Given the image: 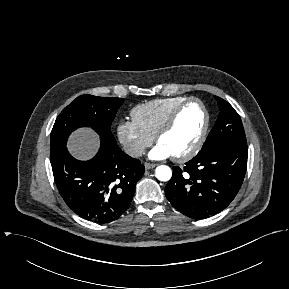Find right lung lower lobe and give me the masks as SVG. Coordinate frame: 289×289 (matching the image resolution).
Segmentation results:
<instances>
[{
	"mask_svg": "<svg viewBox=\"0 0 289 289\" xmlns=\"http://www.w3.org/2000/svg\"><path fill=\"white\" fill-rule=\"evenodd\" d=\"M60 195L80 217L100 223L119 218L130 206L136 182L145 167L119 146L101 139L97 155L89 161L73 158L67 148L51 160Z\"/></svg>",
	"mask_w": 289,
	"mask_h": 289,
	"instance_id": "obj_1",
	"label": "right lung lower lobe"
}]
</instances>
